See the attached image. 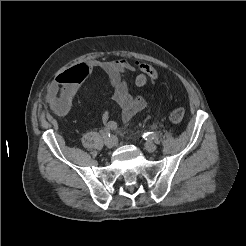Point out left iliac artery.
<instances>
[{"mask_svg":"<svg viewBox=\"0 0 246 246\" xmlns=\"http://www.w3.org/2000/svg\"><path fill=\"white\" fill-rule=\"evenodd\" d=\"M156 137V133H154V132H147V133H144L143 134V138L145 139V140H152V139H154Z\"/></svg>","mask_w":246,"mask_h":246,"instance_id":"44dca946","label":"left iliac artery"}]
</instances>
